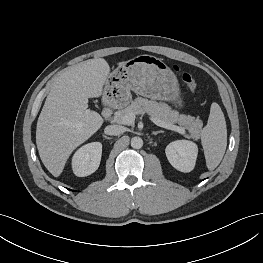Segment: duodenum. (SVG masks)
Segmentation results:
<instances>
[{"mask_svg": "<svg viewBox=\"0 0 263 263\" xmlns=\"http://www.w3.org/2000/svg\"><path fill=\"white\" fill-rule=\"evenodd\" d=\"M118 98L117 97H114L113 99H112V102L114 103V102H116V100H117ZM110 113H111V107L110 106H105V107H103V109H102V114H103V116L105 117V118H107L109 115H110Z\"/></svg>", "mask_w": 263, "mask_h": 263, "instance_id": "duodenum-1", "label": "duodenum"}]
</instances>
